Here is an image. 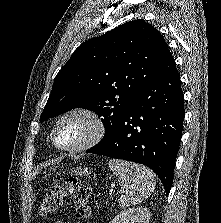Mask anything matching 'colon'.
I'll list each match as a JSON object with an SVG mask.
<instances>
[{
    "mask_svg": "<svg viewBox=\"0 0 221 223\" xmlns=\"http://www.w3.org/2000/svg\"><path fill=\"white\" fill-rule=\"evenodd\" d=\"M90 196V187L80 179L68 177L65 180H58L46 191L40 204L39 214L40 216L51 215L61 207L64 199L72 198L76 203L74 211L76 223H85L91 213Z\"/></svg>",
    "mask_w": 221,
    "mask_h": 223,
    "instance_id": "5ec220e1",
    "label": "colon"
}]
</instances>
